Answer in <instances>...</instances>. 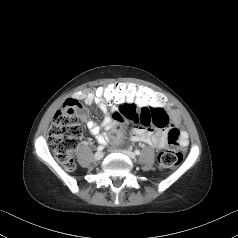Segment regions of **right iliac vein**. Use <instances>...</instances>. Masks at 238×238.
<instances>
[{"mask_svg":"<svg viewBox=\"0 0 238 238\" xmlns=\"http://www.w3.org/2000/svg\"><path fill=\"white\" fill-rule=\"evenodd\" d=\"M103 158V152L98 151L94 154V159L95 160H101Z\"/></svg>","mask_w":238,"mask_h":238,"instance_id":"obj_1","label":"right iliac vein"}]
</instances>
